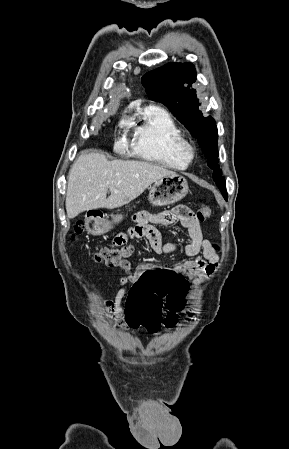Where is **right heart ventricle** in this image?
<instances>
[{"mask_svg":"<svg viewBox=\"0 0 289 449\" xmlns=\"http://www.w3.org/2000/svg\"><path fill=\"white\" fill-rule=\"evenodd\" d=\"M181 136L172 116L165 109L150 105L134 122L132 151L145 160L184 170L189 162L178 154L175 147Z\"/></svg>","mask_w":289,"mask_h":449,"instance_id":"obj_1","label":"right heart ventricle"}]
</instances>
